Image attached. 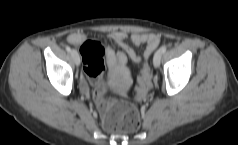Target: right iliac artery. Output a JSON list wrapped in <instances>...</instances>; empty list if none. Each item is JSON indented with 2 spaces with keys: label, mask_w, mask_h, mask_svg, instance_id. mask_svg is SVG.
<instances>
[{
  "label": "right iliac artery",
  "mask_w": 238,
  "mask_h": 145,
  "mask_svg": "<svg viewBox=\"0 0 238 145\" xmlns=\"http://www.w3.org/2000/svg\"><path fill=\"white\" fill-rule=\"evenodd\" d=\"M66 50L70 53L71 52V48L69 46H66Z\"/></svg>",
  "instance_id": "1"
}]
</instances>
